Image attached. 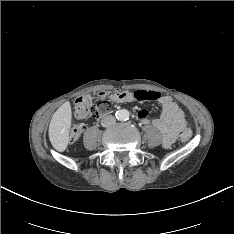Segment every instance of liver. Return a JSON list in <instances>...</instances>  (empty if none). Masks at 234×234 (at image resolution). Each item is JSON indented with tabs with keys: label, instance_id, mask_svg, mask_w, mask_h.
Segmentation results:
<instances>
[{
	"label": "liver",
	"instance_id": "obj_1",
	"mask_svg": "<svg viewBox=\"0 0 234 234\" xmlns=\"http://www.w3.org/2000/svg\"><path fill=\"white\" fill-rule=\"evenodd\" d=\"M72 120L71 105L69 102L62 104L53 114L49 125V139L59 152H63L69 142V131Z\"/></svg>",
	"mask_w": 234,
	"mask_h": 234
}]
</instances>
